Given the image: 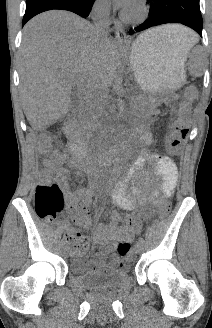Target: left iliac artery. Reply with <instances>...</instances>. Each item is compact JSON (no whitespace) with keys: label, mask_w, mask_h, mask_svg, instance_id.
Wrapping results in <instances>:
<instances>
[{"label":"left iliac artery","mask_w":212,"mask_h":328,"mask_svg":"<svg viewBox=\"0 0 212 328\" xmlns=\"http://www.w3.org/2000/svg\"><path fill=\"white\" fill-rule=\"evenodd\" d=\"M138 242H140L141 244H144L145 243V241H144V239L142 237H139Z\"/></svg>","instance_id":"44dca946"}]
</instances>
